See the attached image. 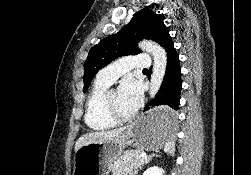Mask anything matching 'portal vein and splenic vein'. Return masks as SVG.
I'll return each instance as SVG.
<instances>
[{"label":"portal vein and splenic vein","mask_w":251,"mask_h":175,"mask_svg":"<svg viewBox=\"0 0 251 175\" xmlns=\"http://www.w3.org/2000/svg\"><path fill=\"white\" fill-rule=\"evenodd\" d=\"M140 157H146V153H140Z\"/></svg>","instance_id":"18ae733b"}]
</instances>
